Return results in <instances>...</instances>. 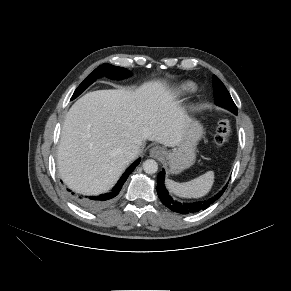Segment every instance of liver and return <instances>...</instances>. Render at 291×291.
<instances>
[{"label": "liver", "mask_w": 291, "mask_h": 291, "mask_svg": "<svg viewBox=\"0 0 291 291\" xmlns=\"http://www.w3.org/2000/svg\"><path fill=\"white\" fill-rule=\"evenodd\" d=\"M189 117L161 82L136 90L89 92L65 116L57 164L72 190L99 194L110 189L133 159L125 149L136 144L140 153L147 140L168 147L183 139Z\"/></svg>", "instance_id": "liver-1"}]
</instances>
